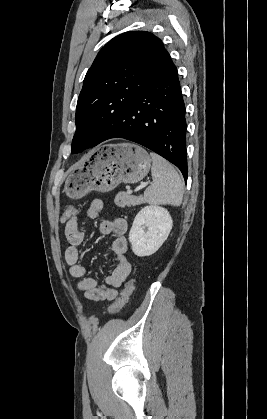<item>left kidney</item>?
<instances>
[{"label": "left kidney", "instance_id": "5707ae66", "mask_svg": "<svg viewBox=\"0 0 267 419\" xmlns=\"http://www.w3.org/2000/svg\"><path fill=\"white\" fill-rule=\"evenodd\" d=\"M173 226L167 209L149 205L136 215L129 241L135 255L143 257L154 254L165 242Z\"/></svg>", "mask_w": 267, "mask_h": 419}]
</instances>
